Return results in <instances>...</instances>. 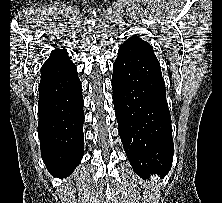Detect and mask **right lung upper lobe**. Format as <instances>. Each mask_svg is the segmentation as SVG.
Returning a JSON list of instances; mask_svg holds the SVG:
<instances>
[{
	"mask_svg": "<svg viewBox=\"0 0 222 203\" xmlns=\"http://www.w3.org/2000/svg\"><path fill=\"white\" fill-rule=\"evenodd\" d=\"M58 59H69L66 50L62 49L53 50L47 61L58 60Z\"/></svg>",
	"mask_w": 222,
	"mask_h": 203,
	"instance_id": "1",
	"label": "right lung upper lobe"
}]
</instances>
